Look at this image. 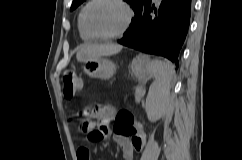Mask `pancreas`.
<instances>
[{"label": "pancreas", "instance_id": "pancreas-1", "mask_svg": "<svg viewBox=\"0 0 242 160\" xmlns=\"http://www.w3.org/2000/svg\"><path fill=\"white\" fill-rule=\"evenodd\" d=\"M141 96H142V91L140 88L137 87L135 92V97L137 100H140Z\"/></svg>", "mask_w": 242, "mask_h": 160}]
</instances>
